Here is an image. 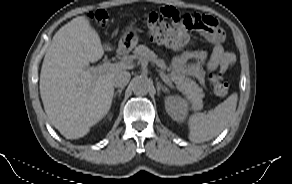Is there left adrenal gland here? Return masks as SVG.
<instances>
[{"mask_svg":"<svg viewBox=\"0 0 292 184\" xmlns=\"http://www.w3.org/2000/svg\"><path fill=\"white\" fill-rule=\"evenodd\" d=\"M160 90H162L165 93L168 92V88L165 85H162L160 82L157 81L158 95H160Z\"/></svg>","mask_w":292,"mask_h":184,"instance_id":"1","label":"left adrenal gland"}]
</instances>
